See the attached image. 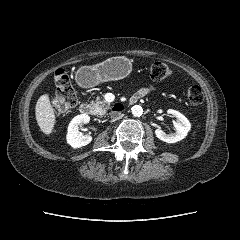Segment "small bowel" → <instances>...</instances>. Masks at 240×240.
<instances>
[{
    "label": "small bowel",
    "mask_w": 240,
    "mask_h": 240,
    "mask_svg": "<svg viewBox=\"0 0 240 240\" xmlns=\"http://www.w3.org/2000/svg\"><path fill=\"white\" fill-rule=\"evenodd\" d=\"M157 88L153 85H150L148 87L140 89L137 94L140 95L141 97H145L153 92H155Z\"/></svg>",
    "instance_id": "1"
}]
</instances>
